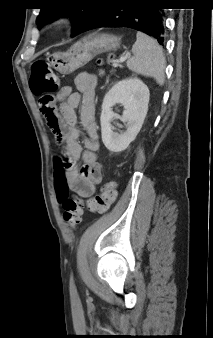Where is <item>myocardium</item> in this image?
<instances>
[{
  "label": "myocardium",
  "instance_id": "1",
  "mask_svg": "<svg viewBox=\"0 0 213 338\" xmlns=\"http://www.w3.org/2000/svg\"><path fill=\"white\" fill-rule=\"evenodd\" d=\"M64 24H65V19L64 18L59 17V18L55 19L54 25L56 26V28L59 29V28L63 27Z\"/></svg>",
  "mask_w": 213,
  "mask_h": 338
}]
</instances>
